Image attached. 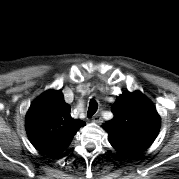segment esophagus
<instances>
[{
    "label": "esophagus",
    "instance_id": "obj_1",
    "mask_svg": "<svg viewBox=\"0 0 179 179\" xmlns=\"http://www.w3.org/2000/svg\"><path fill=\"white\" fill-rule=\"evenodd\" d=\"M92 121L95 122V123H102L103 119L102 117L100 116V114H95L93 117H92Z\"/></svg>",
    "mask_w": 179,
    "mask_h": 179
}]
</instances>
